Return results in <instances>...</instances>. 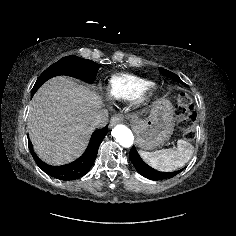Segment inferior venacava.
I'll list each match as a JSON object with an SVG mask.
<instances>
[{
  "label": "inferior vena cava",
  "instance_id": "1",
  "mask_svg": "<svg viewBox=\"0 0 236 236\" xmlns=\"http://www.w3.org/2000/svg\"><path fill=\"white\" fill-rule=\"evenodd\" d=\"M108 122V112L106 110L98 112L92 119L91 126L93 129L102 128Z\"/></svg>",
  "mask_w": 236,
  "mask_h": 236
}]
</instances>
